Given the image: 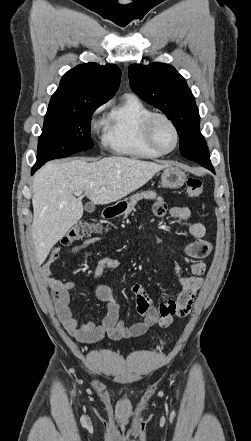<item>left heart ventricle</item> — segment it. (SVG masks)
<instances>
[{"instance_id": "obj_1", "label": "left heart ventricle", "mask_w": 251, "mask_h": 441, "mask_svg": "<svg viewBox=\"0 0 251 441\" xmlns=\"http://www.w3.org/2000/svg\"><path fill=\"white\" fill-rule=\"evenodd\" d=\"M155 141L163 150H170L175 144L172 128L163 120L157 121L154 129Z\"/></svg>"}]
</instances>
